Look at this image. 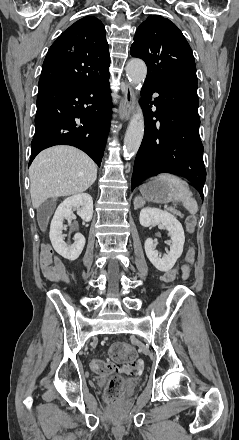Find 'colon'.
Instances as JSON below:
<instances>
[{
  "label": "colon",
  "mask_w": 239,
  "mask_h": 440,
  "mask_svg": "<svg viewBox=\"0 0 239 440\" xmlns=\"http://www.w3.org/2000/svg\"><path fill=\"white\" fill-rule=\"evenodd\" d=\"M195 217L189 216L186 220L187 228L189 231L193 230L195 226ZM195 258V250L190 248L185 257L186 266L193 263ZM179 271L172 269L164 275V283L168 284L174 281L178 276ZM112 360L113 362H105L102 360H94L91 364L92 369L100 374H112V373H141L143 370V362L135 360L136 353L134 348L126 341H119L112 347ZM129 363L131 365H129ZM120 376L113 375L110 377L105 389L106 398L110 405H114L115 402L123 397V390L119 384Z\"/></svg>",
  "instance_id": "obj_1"
}]
</instances>
